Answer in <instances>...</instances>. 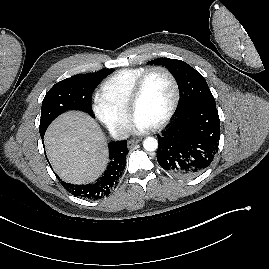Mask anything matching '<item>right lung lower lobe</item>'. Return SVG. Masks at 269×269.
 I'll return each mask as SVG.
<instances>
[{"label": "right lung lower lobe", "mask_w": 269, "mask_h": 269, "mask_svg": "<svg viewBox=\"0 0 269 269\" xmlns=\"http://www.w3.org/2000/svg\"><path fill=\"white\" fill-rule=\"evenodd\" d=\"M43 137L44 136H41L42 140ZM126 145V141L109 143L110 162L103 176L97 179L95 183L74 185L62 181L63 187L73 195L81 198L97 200L108 196L113 188L117 186L119 178L125 168L126 154L128 153Z\"/></svg>", "instance_id": "98d812e1"}]
</instances>
